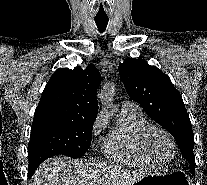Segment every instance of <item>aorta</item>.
<instances>
[{"mask_svg": "<svg viewBox=\"0 0 207 185\" xmlns=\"http://www.w3.org/2000/svg\"><path fill=\"white\" fill-rule=\"evenodd\" d=\"M114 85L110 82L105 83L99 93V99L103 106H107L113 99Z\"/></svg>", "mask_w": 207, "mask_h": 185, "instance_id": "762f6f07", "label": "aorta"}]
</instances>
